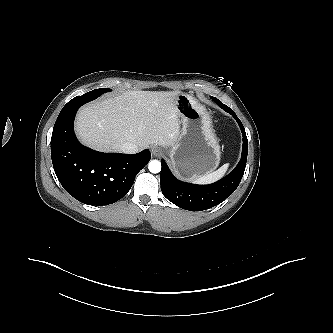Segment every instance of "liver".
<instances>
[{
	"label": "liver",
	"mask_w": 333,
	"mask_h": 333,
	"mask_svg": "<svg viewBox=\"0 0 333 333\" xmlns=\"http://www.w3.org/2000/svg\"><path fill=\"white\" fill-rule=\"evenodd\" d=\"M179 91H126L84 106L75 123L81 142L99 151H120L131 142L173 146L180 131Z\"/></svg>",
	"instance_id": "1"
}]
</instances>
